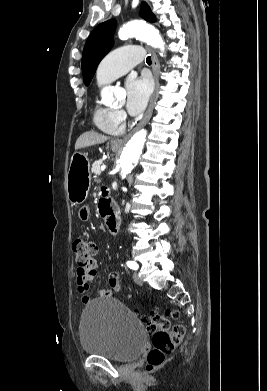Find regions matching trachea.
Returning <instances> with one entry per match:
<instances>
[{
    "mask_svg": "<svg viewBox=\"0 0 267 391\" xmlns=\"http://www.w3.org/2000/svg\"><path fill=\"white\" fill-rule=\"evenodd\" d=\"M146 63H147L148 65L151 64V57H150V56H148V57L146 58Z\"/></svg>",
    "mask_w": 267,
    "mask_h": 391,
    "instance_id": "trachea-1",
    "label": "trachea"
}]
</instances>
